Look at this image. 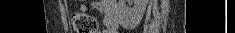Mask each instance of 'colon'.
Masks as SVG:
<instances>
[{
  "label": "colon",
  "instance_id": "5ec220e1",
  "mask_svg": "<svg viewBox=\"0 0 235 33\" xmlns=\"http://www.w3.org/2000/svg\"><path fill=\"white\" fill-rule=\"evenodd\" d=\"M70 22L75 33H96L98 28L96 18L82 11L73 12Z\"/></svg>",
  "mask_w": 235,
  "mask_h": 33
}]
</instances>
